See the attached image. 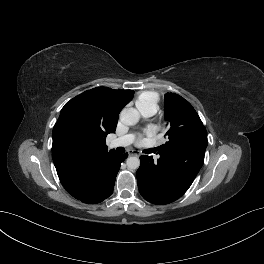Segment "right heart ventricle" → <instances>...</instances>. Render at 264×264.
I'll use <instances>...</instances> for the list:
<instances>
[{"mask_svg":"<svg viewBox=\"0 0 264 264\" xmlns=\"http://www.w3.org/2000/svg\"><path fill=\"white\" fill-rule=\"evenodd\" d=\"M159 95L153 91H143L138 94L135 104L139 110L151 108L155 111L158 108Z\"/></svg>","mask_w":264,"mask_h":264,"instance_id":"right-heart-ventricle-1","label":"right heart ventricle"}]
</instances>
